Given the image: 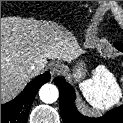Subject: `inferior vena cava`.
Wrapping results in <instances>:
<instances>
[{
  "instance_id": "1",
  "label": "inferior vena cava",
  "mask_w": 123,
  "mask_h": 123,
  "mask_svg": "<svg viewBox=\"0 0 123 123\" xmlns=\"http://www.w3.org/2000/svg\"><path fill=\"white\" fill-rule=\"evenodd\" d=\"M37 69V66L36 65H31L30 68L28 69L29 72H33Z\"/></svg>"
}]
</instances>
